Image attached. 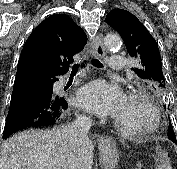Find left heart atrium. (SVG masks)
Masks as SVG:
<instances>
[{"mask_svg": "<svg viewBox=\"0 0 177 169\" xmlns=\"http://www.w3.org/2000/svg\"><path fill=\"white\" fill-rule=\"evenodd\" d=\"M125 96L116 84L96 80L81 87L76 94L77 106L98 116H114Z\"/></svg>", "mask_w": 177, "mask_h": 169, "instance_id": "39dd6f15", "label": "left heart atrium"}]
</instances>
